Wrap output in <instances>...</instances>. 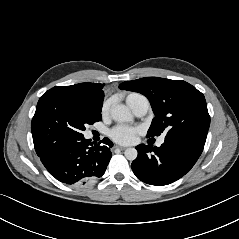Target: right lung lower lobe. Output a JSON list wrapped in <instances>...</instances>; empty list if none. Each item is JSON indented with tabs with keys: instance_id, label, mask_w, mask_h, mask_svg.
<instances>
[{
	"instance_id": "obj_1",
	"label": "right lung lower lobe",
	"mask_w": 239,
	"mask_h": 239,
	"mask_svg": "<svg viewBox=\"0 0 239 239\" xmlns=\"http://www.w3.org/2000/svg\"><path fill=\"white\" fill-rule=\"evenodd\" d=\"M94 144L81 135H66L36 151L46 169L65 184H85L101 177L113 143Z\"/></svg>"
}]
</instances>
